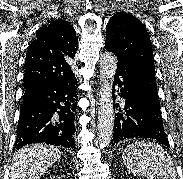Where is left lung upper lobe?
<instances>
[{
	"label": "left lung upper lobe",
	"instance_id": "left-lung-upper-lobe-1",
	"mask_svg": "<svg viewBox=\"0 0 183 179\" xmlns=\"http://www.w3.org/2000/svg\"><path fill=\"white\" fill-rule=\"evenodd\" d=\"M105 49L116 55L118 64L134 73L151 102L160 108L152 43L141 21L128 13H116L106 26Z\"/></svg>",
	"mask_w": 183,
	"mask_h": 179
}]
</instances>
